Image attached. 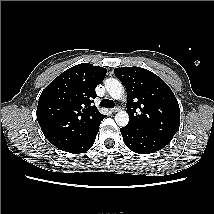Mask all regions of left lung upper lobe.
<instances>
[{"label":"left lung upper lobe","mask_w":214,"mask_h":214,"mask_svg":"<svg viewBox=\"0 0 214 214\" xmlns=\"http://www.w3.org/2000/svg\"><path fill=\"white\" fill-rule=\"evenodd\" d=\"M127 91L128 126L173 137L180 126L178 101L169 86L141 67L115 68Z\"/></svg>","instance_id":"1"}]
</instances>
